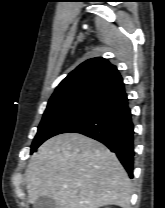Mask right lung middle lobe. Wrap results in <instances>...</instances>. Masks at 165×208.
Returning a JSON list of instances; mask_svg holds the SVG:
<instances>
[{
    "label": "right lung middle lobe",
    "mask_w": 165,
    "mask_h": 208,
    "mask_svg": "<svg viewBox=\"0 0 165 208\" xmlns=\"http://www.w3.org/2000/svg\"><path fill=\"white\" fill-rule=\"evenodd\" d=\"M93 105L64 104L47 106L38 132L31 146V154L47 139L78 122L85 117L93 108Z\"/></svg>",
    "instance_id": "1"
}]
</instances>
